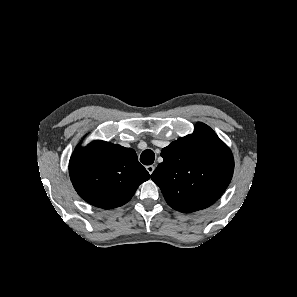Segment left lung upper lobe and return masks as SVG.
<instances>
[{"label": "left lung upper lobe", "mask_w": 297, "mask_h": 297, "mask_svg": "<svg viewBox=\"0 0 297 297\" xmlns=\"http://www.w3.org/2000/svg\"><path fill=\"white\" fill-rule=\"evenodd\" d=\"M163 162L151 179L168 205L190 213L212 205L228 187L234 159L228 146L206 124L197 123L193 134L162 149Z\"/></svg>", "instance_id": "5c2ea615"}]
</instances>
